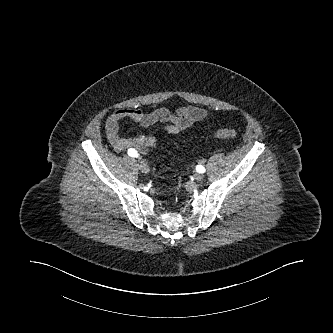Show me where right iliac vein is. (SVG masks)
<instances>
[{
	"mask_svg": "<svg viewBox=\"0 0 333 333\" xmlns=\"http://www.w3.org/2000/svg\"><path fill=\"white\" fill-rule=\"evenodd\" d=\"M138 166H139V169L141 170V172H143V173L149 172V168H148L147 164H145L144 162L139 161Z\"/></svg>",
	"mask_w": 333,
	"mask_h": 333,
	"instance_id": "1",
	"label": "right iliac vein"
}]
</instances>
